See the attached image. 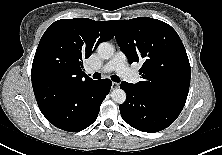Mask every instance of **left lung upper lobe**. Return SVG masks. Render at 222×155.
Returning a JSON list of instances; mask_svg holds the SVG:
<instances>
[{
	"instance_id": "left-lung-upper-lobe-1",
	"label": "left lung upper lobe",
	"mask_w": 222,
	"mask_h": 155,
	"mask_svg": "<svg viewBox=\"0 0 222 155\" xmlns=\"http://www.w3.org/2000/svg\"><path fill=\"white\" fill-rule=\"evenodd\" d=\"M111 25L130 64L141 62L143 78L133 84L144 94L184 107L191 68L184 45L167 23L148 17L114 20Z\"/></svg>"
}]
</instances>
